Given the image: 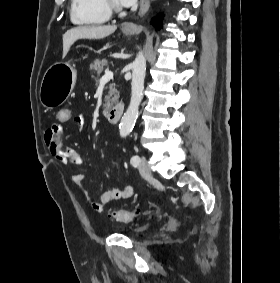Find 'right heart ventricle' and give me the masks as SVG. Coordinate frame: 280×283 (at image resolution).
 <instances>
[{"label": "right heart ventricle", "mask_w": 280, "mask_h": 283, "mask_svg": "<svg viewBox=\"0 0 280 283\" xmlns=\"http://www.w3.org/2000/svg\"><path fill=\"white\" fill-rule=\"evenodd\" d=\"M110 13L103 0H71L70 18L77 25H96L108 21Z\"/></svg>", "instance_id": "e07e8e85"}]
</instances>
